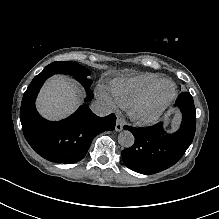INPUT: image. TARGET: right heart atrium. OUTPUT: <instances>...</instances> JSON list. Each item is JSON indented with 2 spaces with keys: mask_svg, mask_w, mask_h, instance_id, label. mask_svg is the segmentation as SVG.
Returning <instances> with one entry per match:
<instances>
[{
  "mask_svg": "<svg viewBox=\"0 0 219 219\" xmlns=\"http://www.w3.org/2000/svg\"><path fill=\"white\" fill-rule=\"evenodd\" d=\"M96 94L98 98L101 99L105 103V105L107 106L109 110H117L118 106L116 102L110 97V95L107 92L101 89H98L96 91Z\"/></svg>",
  "mask_w": 219,
  "mask_h": 219,
  "instance_id": "obj_1",
  "label": "right heart atrium"
}]
</instances>
